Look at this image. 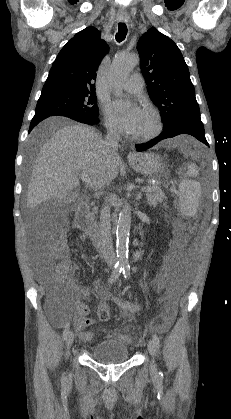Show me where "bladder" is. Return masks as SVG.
Returning a JSON list of instances; mask_svg holds the SVG:
<instances>
[{"instance_id":"1","label":"bladder","mask_w":231,"mask_h":419,"mask_svg":"<svg viewBox=\"0 0 231 419\" xmlns=\"http://www.w3.org/2000/svg\"><path fill=\"white\" fill-rule=\"evenodd\" d=\"M91 357L97 363L115 364L127 361L130 358V353L124 342L117 339H107L94 346Z\"/></svg>"}]
</instances>
